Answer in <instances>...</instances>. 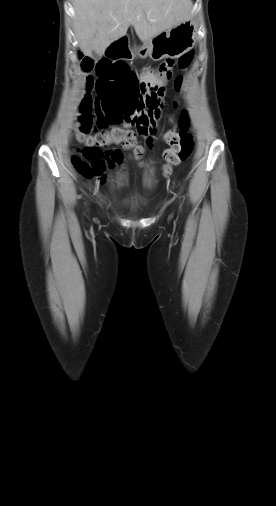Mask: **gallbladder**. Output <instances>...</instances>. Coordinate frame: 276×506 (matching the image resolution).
Segmentation results:
<instances>
[{
    "label": "gallbladder",
    "mask_w": 276,
    "mask_h": 506,
    "mask_svg": "<svg viewBox=\"0 0 276 506\" xmlns=\"http://www.w3.org/2000/svg\"><path fill=\"white\" fill-rule=\"evenodd\" d=\"M95 57H99V55H97L96 53H94Z\"/></svg>",
    "instance_id": "1"
}]
</instances>
